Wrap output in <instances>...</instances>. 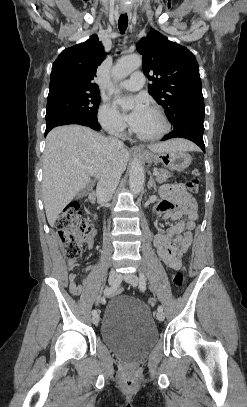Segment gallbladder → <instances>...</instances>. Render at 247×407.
<instances>
[{"mask_svg":"<svg viewBox=\"0 0 247 407\" xmlns=\"http://www.w3.org/2000/svg\"><path fill=\"white\" fill-rule=\"evenodd\" d=\"M90 191V186H87L86 188H84L82 191H80L77 195L78 198L86 196Z\"/></svg>","mask_w":247,"mask_h":407,"instance_id":"gallbladder-1","label":"gallbladder"}]
</instances>
